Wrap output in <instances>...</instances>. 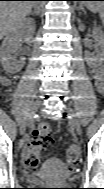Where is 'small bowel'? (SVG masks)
<instances>
[{
  "instance_id": "c3829d8e",
  "label": "small bowel",
  "mask_w": 104,
  "mask_h": 189,
  "mask_svg": "<svg viewBox=\"0 0 104 189\" xmlns=\"http://www.w3.org/2000/svg\"><path fill=\"white\" fill-rule=\"evenodd\" d=\"M92 77H93V80H94V84H95V87L97 88V90H102L103 89V86H104V83H103V71L101 68H96L92 71ZM15 77H3L2 78V84L5 85V86H10L13 81H14ZM32 133L31 132L29 134V138H28V144L25 148V152H27L28 148H29V145L31 143V140H32Z\"/></svg>"
}]
</instances>
